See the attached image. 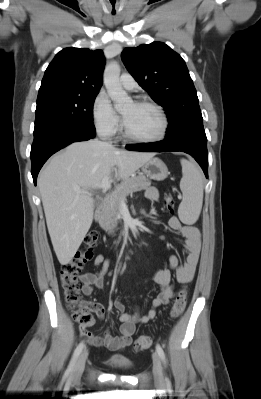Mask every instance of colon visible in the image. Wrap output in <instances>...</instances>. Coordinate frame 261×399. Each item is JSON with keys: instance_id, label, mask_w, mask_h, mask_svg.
Segmentation results:
<instances>
[{"instance_id": "1", "label": "colon", "mask_w": 261, "mask_h": 399, "mask_svg": "<svg viewBox=\"0 0 261 399\" xmlns=\"http://www.w3.org/2000/svg\"><path fill=\"white\" fill-rule=\"evenodd\" d=\"M164 204L169 211L174 209V200L170 194H165ZM84 248L76 253L73 259L62 265L60 270V282L62 292L68 307L72 311V317L81 329H85L92 324L91 306L81 300L80 284L78 275L83 266L91 260L93 250L98 243V234L88 233L84 238ZM186 307V294L180 292L171 309V317L178 318ZM152 340L148 336H140L135 340L134 348L142 351L150 348Z\"/></svg>"}]
</instances>
